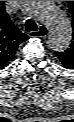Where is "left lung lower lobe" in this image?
<instances>
[{"mask_svg": "<svg viewBox=\"0 0 74 122\" xmlns=\"http://www.w3.org/2000/svg\"><path fill=\"white\" fill-rule=\"evenodd\" d=\"M62 64L64 65L65 68L74 69L72 66H70V65H68V64H64V63H62Z\"/></svg>", "mask_w": 74, "mask_h": 122, "instance_id": "1", "label": "left lung lower lobe"}]
</instances>
